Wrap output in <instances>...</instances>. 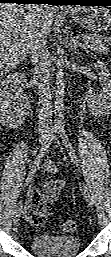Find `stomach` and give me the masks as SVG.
Listing matches in <instances>:
<instances>
[{"mask_svg": "<svg viewBox=\"0 0 111 257\" xmlns=\"http://www.w3.org/2000/svg\"><path fill=\"white\" fill-rule=\"evenodd\" d=\"M72 19L82 27L93 31H105L111 25V14L105 7H75Z\"/></svg>", "mask_w": 111, "mask_h": 257, "instance_id": "stomach-1", "label": "stomach"}]
</instances>
